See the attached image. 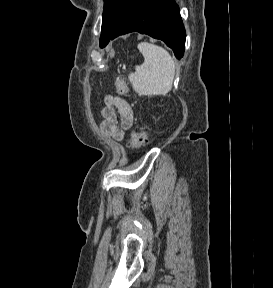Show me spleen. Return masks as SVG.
I'll return each mask as SVG.
<instances>
[{"label":"spleen","instance_id":"obj_1","mask_svg":"<svg viewBox=\"0 0 273 288\" xmlns=\"http://www.w3.org/2000/svg\"><path fill=\"white\" fill-rule=\"evenodd\" d=\"M138 49L144 62L128 75L132 88L139 95H166L175 75L173 58L163 47L148 42L139 43Z\"/></svg>","mask_w":273,"mask_h":288}]
</instances>
